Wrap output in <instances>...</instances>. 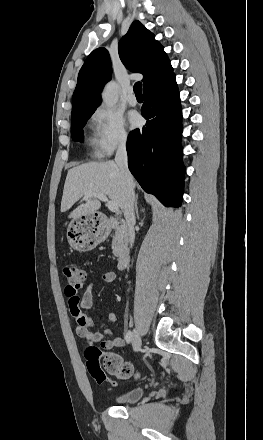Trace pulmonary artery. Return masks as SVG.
<instances>
[{
    "label": "pulmonary artery",
    "mask_w": 263,
    "mask_h": 440,
    "mask_svg": "<svg viewBox=\"0 0 263 440\" xmlns=\"http://www.w3.org/2000/svg\"><path fill=\"white\" fill-rule=\"evenodd\" d=\"M127 102L130 106H135L137 104V99L132 89L129 91L127 95Z\"/></svg>",
    "instance_id": "obj_1"
}]
</instances>
